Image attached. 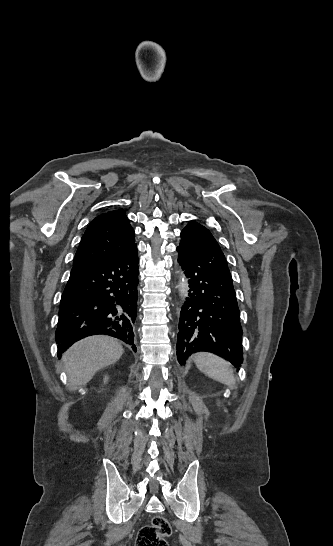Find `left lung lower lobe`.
Returning <instances> with one entry per match:
<instances>
[{
    "label": "left lung lower lobe",
    "instance_id": "1",
    "mask_svg": "<svg viewBox=\"0 0 333 546\" xmlns=\"http://www.w3.org/2000/svg\"><path fill=\"white\" fill-rule=\"evenodd\" d=\"M180 236L178 262L190 291L180 312L178 362L185 365L192 353L207 351L240 367V310L225 256L211 232L195 221Z\"/></svg>",
    "mask_w": 333,
    "mask_h": 546
}]
</instances>
